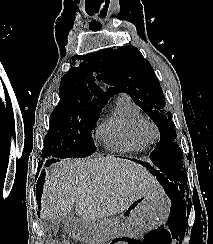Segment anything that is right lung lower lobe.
<instances>
[{
    "instance_id": "98d812e1",
    "label": "right lung lower lobe",
    "mask_w": 213,
    "mask_h": 244,
    "mask_svg": "<svg viewBox=\"0 0 213 244\" xmlns=\"http://www.w3.org/2000/svg\"><path fill=\"white\" fill-rule=\"evenodd\" d=\"M52 161H56V160H52ZM47 164H49L48 162H47ZM41 185H42V183H41ZM41 185H40V182H38V184H37V189H36V195H37V198L38 199H40V195H41V190H42V187H41Z\"/></svg>"
}]
</instances>
